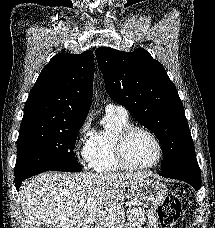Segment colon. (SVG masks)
Here are the masks:
<instances>
[{
  "instance_id": "5ec220e1",
  "label": "colon",
  "mask_w": 215,
  "mask_h": 228,
  "mask_svg": "<svg viewBox=\"0 0 215 228\" xmlns=\"http://www.w3.org/2000/svg\"><path fill=\"white\" fill-rule=\"evenodd\" d=\"M181 214V202L176 195H170L158 208L161 228H174Z\"/></svg>"
}]
</instances>
